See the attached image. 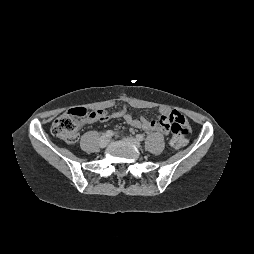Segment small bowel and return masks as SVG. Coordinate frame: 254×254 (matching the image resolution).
Listing matches in <instances>:
<instances>
[{"instance_id":"c3829d8e","label":"small bowel","mask_w":254,"mask_h":254,"mask_svg":"<svg viewBox=\"0 0 254 254\" xmlns=\"http://www.w3.org/2000/svg\"><path fill=\"white\" fill-rule=\"evenodd\" d=\"M98 118L90 121H107L114 118H123L124 121L133 128L143 129L145 131H157L162 133H168L170 129V123L174 116L179 114L176 111H173L168 106H161L158 109V117L155 120H149L145 117L135 118L129 114L126 108H122L116 112L109 113L104 110H98Z\"/></svg>"}]
</instances>
